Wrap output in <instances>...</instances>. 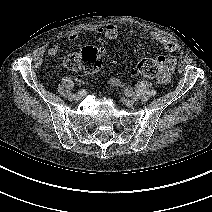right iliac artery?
<instances>
[{
	"label": "right iliac artery",
	"instance_id": "1",
	"mask_svg": "<svg viewBox=\"0 0 212 212\" xmlns=\"http://www.w3.org/2000/svg\"><path fill=\"white\" fill-rule=\"evenodd\" d=\"M75 97V94L74 93H70L69 96H68V99L69 100H73Z\"/></svg>",
	"mask_w": 212,
	"mask_h": 212
}]
</instances>
